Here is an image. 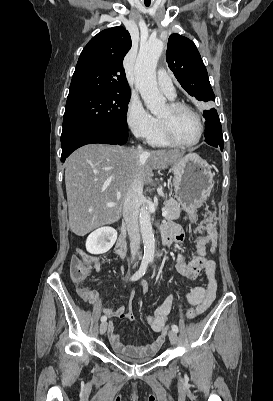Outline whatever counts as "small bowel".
<instances>
[{
  "label": "small bowel",
  "instance_id": "small-bowel-1",
  "mask_svg": "<svg viewBox=\"0 0 273 401\" xmlns=\"http://www.w3.org/2000/svg\"><path fill=\"white\" fill-rule=\"evenodd\" d=\"M218 221L217 216L208 215L206 217V224L199 228L201 235L196 241V248L193 251L190 260H186V256L179 255L176 260L177 270L187 278L190 271H199L201 276L204 277V284H199L191 291L183 295L185 301L190 305L187 313V318L191 319L202 314L214 301L217 291V275L216 263L213 259L207 256L208 245H214L217 240V233L215 230ZM173 239H179L184 236L183 228H175L174 226H167L163 230ZM91 261L97 262V269L100 268L101 262L94 256H85ZM83 282V280H82ZM142 284V283H141ZM129 297L132 298L135 291L133 288L128 290ZM102 293L99 290H79L77 293L76 301L79 304H90L101 312L102 316L108 320L107 334L109 341L115 351L120 354L128 355L133 354L137 356H151L158 349V345H164L166 339L164 336H157L156 343L134 349L125 345L120 338V335L115 331L114 320H133L134 313L131 305L129 304L127 310L124 306L115 308H108L102 305ZM176 296L171 295L160 304L154 313L146 318L147 324L156 333H163L168 324L169 317L172 313Z\"/></svg>",
  "mask_w": 273,
  "mask_h": 401
}]
</instances>
